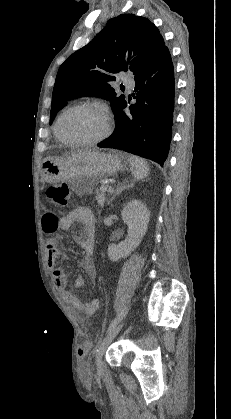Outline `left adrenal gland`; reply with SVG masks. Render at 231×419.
I'll return each instance as SVG.
<instances>
[{
  "mask_svg": "<svg viewBox=\"0 0 231 419\" xmlns=\"http://www.w3.org/2000/svg\"><path fill=\"white\" fill-rule=\"evenodd\" d=\"M130 187H133V183H131V184H123V185H121L119 188H117V190H116V192H115V194L112 196V198L108 201V204H110L113 200H114V198L117 196V195H119V194H121L125 189H128V188H130Z\"/></svg>",
  "mask_w": 231,
  "mask_h": 419,
  "instance_id": "a2214340",
  "label": "left adrenal gland"
}]
</instances>
